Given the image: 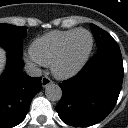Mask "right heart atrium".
Listing matches in <instances>:
<instances>
[{
  "mask_svg": "<svg viewBox=\"0 0 128 128\" xmlns=\"http://www.w3.org/2000/svg\"><path fill=\"white\" fill-rule=\"evenodd\" d=\"M25 60L29 63L32 64L34 66H40L41 64L31 55H26L25 56Z\"/></svg>",
  "mask_w": 128,
  "mask_h": 128,
  "instance_id": "obj_1",
  "label": "right heart atrium"
}]
</instances>
